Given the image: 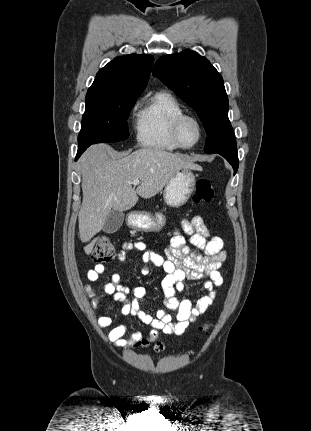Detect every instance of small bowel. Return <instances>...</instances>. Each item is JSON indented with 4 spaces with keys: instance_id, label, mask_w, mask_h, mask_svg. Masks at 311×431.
I'll return each mask as SVG.
<instances>
[{
    "instance_id": "1",
    "label": "small bowel",
    "mask_w": 311,
    "mask_h": 431,
    "mask_svg": "<svg viewBox=\"0 0 311 431\" xmlns=\"http://www.w3.org/2000/svg\"><path fill=\"white\" fill-rule=\"evenodd\" d=\"M182 232L188 235L189 243L197 251L192 250ZM143 242L127 241L118 253L117 259L124 261L127 253L144 251L142 255L143 266L141 272L148 275L151 266L160 268L165 276L161 286L164 293L165 306L176 313L175 319L167 311L160 309L155 313L142 310L146 290L144 287H135L131 290L120 283V273L112 274V281L101 287L86 285L85 290L91 300L93 309H97L102 299L112 296L121 304V312L124 315L135 316L143 323L150 325L152 330L148 339L153 341L159 332L180 336L188 328L190 323L202 315L212 305L217 288L223 284V276L220 267L226 260L227 252L224 242L219 236H210V233L201 216H194L191 220H182L180 228H177L171 237L170 245L165 252L145 251ZM105 271L102 264H98L88 270L86 276L91 282H96ZM203 280L207 294L197 300L179 299L176 294L184 290V280ZM98 325L102 328L112 326L113 320L108 316L98 318ZM127 327L118 325L113 327L107 337L117 346H129L141 339L140 333H134L130 339H124Z\"/></svg>"
}]
</instances>
